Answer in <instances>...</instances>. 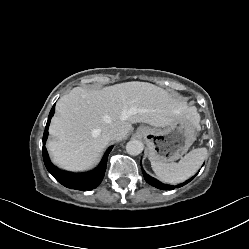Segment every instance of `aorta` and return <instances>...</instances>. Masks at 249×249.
Wrapping results in <instances>:
<instances>
[{"label":"aorta","mask_w":249,"mask_h":249,"mask_svg":"<svg viewBox=\"0 0 249 249\" xmlns=\"http://www.w3.org/2000/svg\"><path fill=\"white\" fill-rule=\"evenodd\" d=\"M143 143L139 140H130L126 144V151L129 155H139L143 151Z\"/></svg>","instance_id":"obj_1"}]
</instances>
